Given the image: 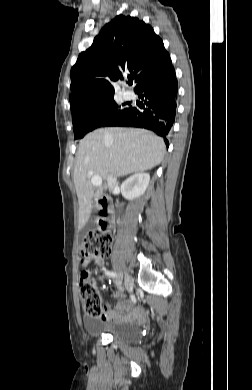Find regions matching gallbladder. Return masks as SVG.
<instances>
[{
	"label": "gallbladder",
	"instance_id": "gallbladder-1",
	"mask_svg": "<svg viewBox=\"0 0 252 390\" xmlns=\"http://www.w3.org/2000/svg\"><path fill=\"white\" fill-rule=\"evenodd\" d=\"M96 229V214L93 212L86 222V224L83 226V228L80 230L81 236L87 235L89 232L94 231Z\"/></svg>",
	"mask_w": 252,
	"mask_h": 390
}]
</instances>
